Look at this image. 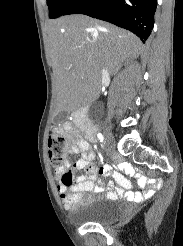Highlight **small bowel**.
Here are the masks:
<instances>
[{
	"label": "small bowel",
	"mask_w": 183,
	"mask_h": 246,
	"mask_svg": "<svg viewBox=\"0 0 183 246\" xmlns=\"http://www.w3.org/2000/svg\"><path fill=\"white\" fill-rule=\"evenodd\" d=\"M69 153L71 155L81 153L82 157L75 164L66 162L63 167L54 171L57 190L60 193L61 199L66 208L72 209L76 204H78L81 201V195L85 192L96 193L105 191L106 196L109 199L125 197L128 200L141 201L144 198H152V194L155 191V185L151 183L150 179H147V174H144L143 176L135 174V165L117 166L118 170H125L126 174H131V179H138V189H146L142 193L134 195L126 192L131 187L129 180L123 177L120 173L113 172L110 165L104 164L97 166L92 163L95 155L91 151L90 144L87 139L77 140L75 144L69 147ZM80 169H84L86 173H73V171H79ZM69 171L72 173H67ZM97 173L106 178H113L116 183V187L112 182L105 187L101 180H99L98 184L95 185ZM64 178H73V180L71 183H67Z\"/></svg>",
	"instance_id": "c3829d8e"
}]
</instances>
